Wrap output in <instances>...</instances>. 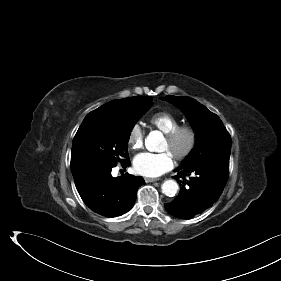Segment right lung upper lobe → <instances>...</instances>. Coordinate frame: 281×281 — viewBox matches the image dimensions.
Returning <instances> with one entry per match:
<instances>
[{"label":"right lung upper lobe","mask_w":281,"mask_h":281,"mask_svg":"<svg viewBox=\"0 0 281 281\" xmlns=\"http://www.w3.org/2000/svg\"><path fill=\"white\" fill-rule=\"evenodd\" d=\"M139 98L140 97H130L125 99L113 100L95 109L88 115H109L117 113L127 107L128 105H131L132 103L137 101Z\"/></svg>","instance_id":"obj_1"}]
</instances>
